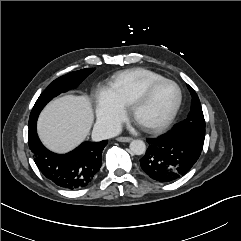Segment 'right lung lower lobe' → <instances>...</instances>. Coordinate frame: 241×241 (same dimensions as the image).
<instances>
[{"mask_svg":"<svg viewBox=\"0 0 241 241\" xmlns=\"http://www.w3.org/2000/svg\"><path fill=\"white\" fill-rule=\"evenodd\" d=\"M36 121L29 124L28 144L42 174L65 189L87 186L101 167L102 151L108 141L84 142L67 154H56L46 149L39 140Z\"/></svg>","mask_w":241,"mask_h":241,"instance_id":"1","label":"right lung lower lobe"}]
</instances>
